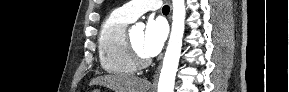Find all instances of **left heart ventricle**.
<instances>
[{
    "label": "left heart ventricle",
    "instance_id": "b2bd125f",
    "mask_svg": "<svg viewBox=\"0 0 289 92\" xmlns=\"http://www.w3.org/2000/svg\"><path fill=\"white\" fill-rule=\"evenodd\" d=\"M131 40L134 44L136 50L144 57H147L143 50V38L144 31L143 30H135L130 34Z\"/></svg>",
    "mask_w": 289,
    "mask_h": 92
}]
</instances>
